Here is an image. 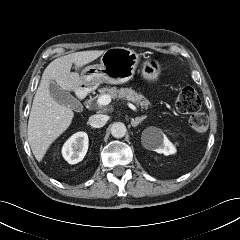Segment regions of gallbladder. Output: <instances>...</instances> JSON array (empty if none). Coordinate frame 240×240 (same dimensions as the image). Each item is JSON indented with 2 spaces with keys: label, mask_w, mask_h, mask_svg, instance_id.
Segmentation results:
<instances>
[{
  "label": "gallbladder",
  "mask_w": 240,
  "mask_h": 240,
  "mask_svg": "<svg viewBox=\"0 0 240 240\" xmlns=\"http://www.w3.org/2000/svg\"><path fill=\"white\" fill-rule=\"evenodd\" d=\"M49 92L52 98L58 103L67 106L73 110H79L81 108V103L69 92L63 90L54 81H50L49 83Z\"/></svg>",
  "instance_id": "1"
}]
</instances>
